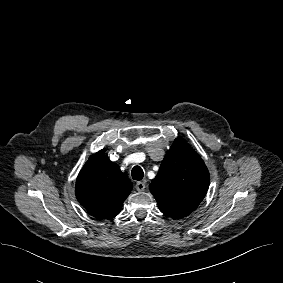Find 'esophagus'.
<instances>
[{
  "instance_id": "34e87169",
  "label": "esophagus",
  "mask_w": 283,
  "mask_h": 283,
  "mask_svg": "<svg viewBox=\"0 0 283 283\" xmlns=\"http://www.w3.org/2000/svg\"><path fill=\"white\" fill-rule=\"evenodd\" d=\"M145 187H146V185H145L144 182L139 181V182L136 183V189L138 191H143L145 189Z\"/></svg>"
}]
</instances>
